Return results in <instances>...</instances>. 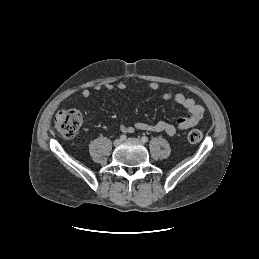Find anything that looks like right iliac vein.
<instances>
[{"label": "right iliac vein", "mask_w": 259, "mask_h": 259, "mask_svg": "<svg viewBox=\"0 0 259 259\" xmlns=\"http://www.w3.org/2000/svg\"><path fill=\"white\" fill-rule=\"evenodd\" d=\"M122 143V140L121 139H116L115 141H114V146H119L120 144Z\"/></svg>", "instance_id": "1"}]
</instances>
